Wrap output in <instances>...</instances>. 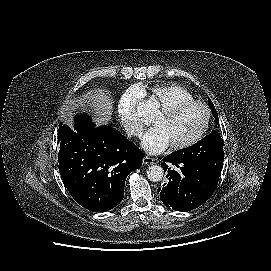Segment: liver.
Masks as SVG:
<instances>
[{
  "label": "liver",
  "instance_id": "liver-1",
  "mask_svg": "<svg viewBox=\"0 0 271 271\" xmlns=\"http://www.w3.org/2000/svg\"><path fill=\"white\" fill-rule=\"evenodd\" d=\"M82 99H86L90 107L94 109L99 125L107 124L110 121L113 112V101L107 92L102 89H95L85 94L80 100ZM64 120L70 123V119L67 116H64Z\"/></svg>",
  "mask_w": 271,
  "mask_h": 271
}]
</instances>
